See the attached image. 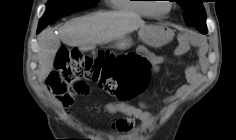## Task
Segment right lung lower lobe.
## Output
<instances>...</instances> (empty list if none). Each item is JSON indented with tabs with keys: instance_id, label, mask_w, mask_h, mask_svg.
<instances>
[{
	"instance_id": "1",
	"label": "right lung lower lobe",
	"mask_w": 236,
	"mask_h": 140,
	"mask_svg": "<svg viewBox=\"0 0 236 140\" xmlns=\"http://www.w3.org/2000/svg\"><path fill=\"white\" fill-rule=\"evenodd\" d=\"M41 30H42V28H38V31H37V33H39Z\"/></svg>"
}]
</instances>
